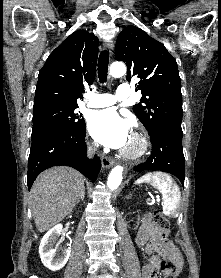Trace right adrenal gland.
I'll list each match as a JSON object with an SVG mask.
<instances>
[{"mask_svg":"<svg viewBox=\"0 0 221 278\" xmlns=\"http://www.w3.org/2000/svg\"><path fill=\"white\" fill-rule=\"evenodd\" d=\"M84 197H85V188L82 192V195H81L80 199L77 201V204L80 202V200H84Z\"/></svg>","mask_w":221,"mask_h":278,"instance_id":"2a0ac1e0","label":"right adrenal gland"}]
</instances>
